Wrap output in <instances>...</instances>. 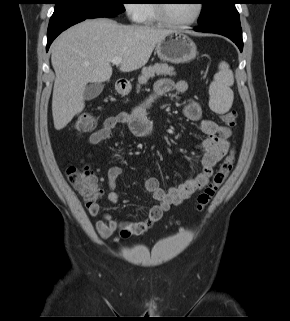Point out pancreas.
<instances>
[{"mask_svg":"<svg viewBox=\"0 0 290 321\" xmlns=\"http://www.w3.org/2000/svg\"><path fill=\"white\" fill-rule=\"evenodd\" d=\"M155 75H175L174 68L165 63H157L153 66L144 68L142 74L138 78V88H140V85L146 84L148 80Z\"/></svg>","mask_w":290,"mask_h":321,"instance_id":"1","label":"pancreas"}]
</instances>
